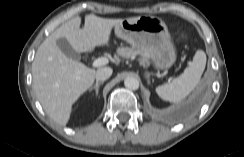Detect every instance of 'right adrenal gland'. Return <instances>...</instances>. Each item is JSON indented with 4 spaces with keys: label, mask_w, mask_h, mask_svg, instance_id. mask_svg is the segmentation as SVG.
<instances>
[{
    "label": "right adrenal gland",
    "mask_w": 244,
    "mask_h": 157,
    "mask_svg": "<svg viewBox=\"0 0 244 157\" xmlns=\"http://www.w3.org/2000/svg\"><path fill=\"white\" fill-rule=\"evenodd\" d=\"M104 82L100 81V82H96V84L90 88V91H92L93 89L95 90L96 96H98L99 93V86L102 85Z\"/></svg>",
    "instance_id": "right-adrenal-gland-1"
}]
</instances>
